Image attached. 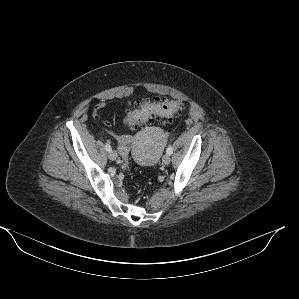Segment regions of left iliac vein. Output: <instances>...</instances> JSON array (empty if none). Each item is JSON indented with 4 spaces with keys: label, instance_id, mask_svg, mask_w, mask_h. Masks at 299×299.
<instances>
[{
    "label": "left iliac vein",
    "instance_id": "obj_1",
    "mask_svg": "<svg viewBox=\"0 0 299 299\" xmlns=\"http://www.w3.org/2000/svg\"><path fill=\"white\" fill-rule=\"evenodd\" d=\"M171 161L170 155L166 154L162 157V163L164 165H168Z\"/></svg>",
    "mask_w": 299,
    "mask_h": 299
}]
</instances>
